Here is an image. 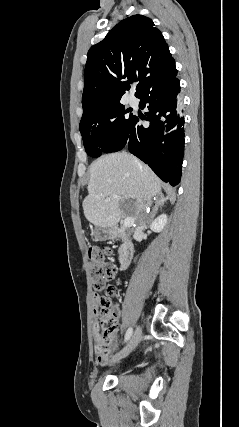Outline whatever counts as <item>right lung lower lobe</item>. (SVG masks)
<instances>
[{"label": "right lung lower lobe", "instance_id": "1", "mask_svg": "<svg viewBox=\"0 0 239 427\" xmlns=\"http://www.w3.org/2000/svg\"><path fill=\"white\" fill-rule=\"evenodd\" d=\"M176 75L177 72L171 74L137 96L140 108H148L146 117L140 119L148 120L150 125H140V119L133 116L127 140L120 147H128L172 186L180 182L184 156V114Z\"/></svg>", "mask_w": 239, "mask_h": 427}]
</instances>
